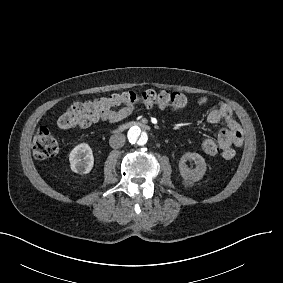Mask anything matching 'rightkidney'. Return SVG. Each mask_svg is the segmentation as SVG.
<instances>
[{
    "label": "right kidney",
    "instance_id": "right-kidney-1",
    "mask_svg": "<svg viewBox=\"0 0 283 283\" xmlns=\"http://www.w3.org/2000/svg\"><path fill=\"white\" fill-rule=\"evenodd\" d=\"M71 170L78 174L89 173L94 165L92 149L86 143L77 145L69 155Z\"/></svg>",
    "mask_w": 283,
    "mask_h": 283
}]
</instances>
